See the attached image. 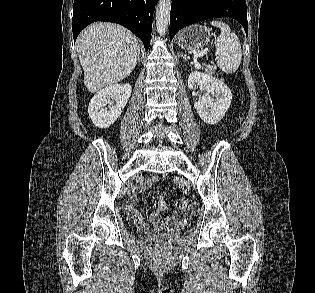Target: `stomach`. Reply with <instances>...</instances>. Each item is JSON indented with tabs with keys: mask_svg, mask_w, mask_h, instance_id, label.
Listing matches in <instances>:
<instances>
[{
	"mask_svg": "<svg viewBox=\"0 0 315 293\" xmlns=\"http://www.w3.org/2000/svg\"><path fill=\"white\" fill-rule=\"evenodd\" d=\"M211 36V30L206 27H188L179 34L178 45L182 49L197 51L209 43Z\"/></svg>",
	"mask_w": 315,
	"mask_h": 293,
	"instance_id": "obj_1",
	"label": "stomach"
}]
</instances>
